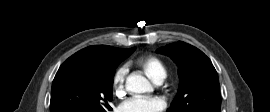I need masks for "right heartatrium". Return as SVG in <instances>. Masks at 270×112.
I'll use <instances>...</instances> for the list:
<instances>
[{
	"label": "right heart atrium",
	"mask_w": 270,
	"mask_h": 112,
	"mask_svg": "<svg viewBox=\"0 0 270 112\" xmlns=\"http://www.w3.org/2000/svg\"><path fill=\"white\" fill-rule=\"evenodd\" d=\"M127 73H128L127 65H122L115 71L112 78V84L116 94H121L124 91Z\"/></svg>",
	"instance_id": "1"
}]
</instances>
